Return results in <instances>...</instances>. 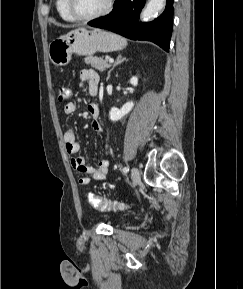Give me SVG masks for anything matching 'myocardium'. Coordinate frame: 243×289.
Segmentation results:
<instances>
[{"instance_id":"f54148a6","label":"myocardium","mask_w":243,"mask_h":289,"mask_svg":"<svg viewBox=\"0 0 243 289\" xmlns=\"http://www.w3.org/2000/svg\"><path fill=\"white\" fill-rule=\"evenodd\" d=\"M113 5H114V0H107L106 6L100 12L91 16H81L74 9V0H67L68 12L75 20H78V21H92V20L102 18L108 15L112 11Z\"/></svg>"}]
</instances>
